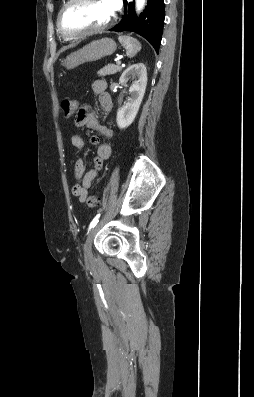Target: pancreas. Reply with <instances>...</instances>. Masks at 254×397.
<instances>
[{
  "label": "pancreas",
  "instance_id": "pancreas-1",
  "mask_svg": "<svg viewBox=\"0 0 254 397\" xmlns=\"http://www.w3.org/2000/svg\"><path fill=\"white\" fill-rule=\"evenodd\" d=\"M121 70H122V67L119 65L108 64L98 71V75L104 77L106 75H112L117 72H120Z\"/></svg>",
  "mask_w": 254,
  "mask_h": 397
}]
</instances>
